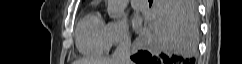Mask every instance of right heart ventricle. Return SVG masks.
I'll return each instance as SVG.
<instances>
[{"label": "right heart ventricle", "instance_id": "e07e8e85", "mask_svg": "<svg viewBox=\"0 0 242 64\" xmlns=\"http://www.w3.org/2000/svg\"><path fill=\"white\" fill-rule=\"evenodd\" d=\"M75 40L78 51L84 56L95 57L108 52L107 24L98 11H91L81 19Z\"/></svg>", "mask_w": 242, "mask_h": 64}]
</instances>
